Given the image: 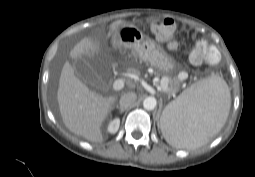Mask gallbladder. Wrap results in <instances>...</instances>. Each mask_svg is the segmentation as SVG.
Here are the masks:
<instances>
[{"label":"gallbladder","instance_id":"gallbladder-1","mask_svg":"<svg viewBox=\"0 0 255 177\" xmlns=\"http://www.w3.org/2000/svg\"><path fill=\"white\" fill-rule=\"evenodd\" d=\"M72 66L77 76L89 85L96 84L98 82V76L91 67L90 63L82 57H77L72 60Z\"/></svg>","mask_w":255,"mask_h":177}]
</instances>
